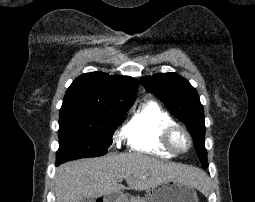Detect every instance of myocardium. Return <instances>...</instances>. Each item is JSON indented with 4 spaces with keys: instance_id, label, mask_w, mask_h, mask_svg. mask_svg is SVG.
I'll list each match as a JSON object with an SVG mask.
<instances>
[{
    "instance_id": "myocardium-1",
    "label": "myocardium",
    "mask_w": 255,
    "mask_h": 202,
    "mask_svg": "<svg viewBox=\"0 0 255 202\" xmlns=\"http://www.w3.org/2000/svg\"><path fill=\"white\" fill-rule=\"evenodd\" d=\"M178 131L182 132L188 139V147L184 150L176 148L173 143V136ZM161 140L165 148H167L173 154H184L188 152L193 145V139L188 129L177 123H173L164 129Z\"/></svg>"
}]
</instances>
